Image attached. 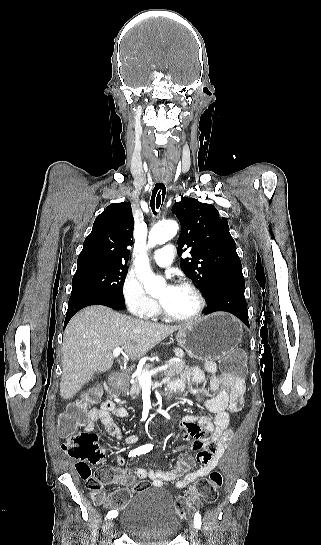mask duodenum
I'll use <instances>...</instances> for the list:
<instances>
[{"mask_svg":"<svg viewBox=\"0 0 321 545\" xmlns=\"http://www.w3.org/2000/svg\"><path fill=\"white\" fill-rule=\"evenodd\" d=\"M108 383L113 390H120L125 383V377L120 372H113L108 378ZM177 390V386L174 383H170L165 390L166 397H171Z\"/></svg>","mask_w":321,"mask_h":545,"instance_id":"obj_1","label":"duodenum"}]
</instances>
